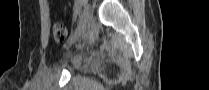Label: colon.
Here are the masks:
<instances>
[{
    "label": "colon",
    "mask_w": 209,
    "mask_h": 90,
    "mask_svg": "<svg viewBox=\"0 0 209 90\" xmlns=\"http://www.w3.org/2000/svg\"><path fill=\"white\" fill-rule=\"evenodd\" d=\"M53 36L57 42H63L66 40L68 31L61 22H54L52 26Z\"/></svg>",
    "instance_id": "5ec220e1"
}]
</instances>
